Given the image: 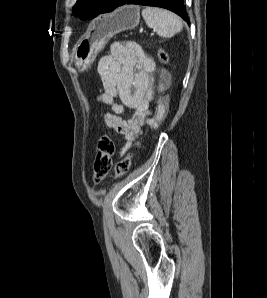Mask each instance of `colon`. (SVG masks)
<instances>
[{
    "label": "colon",
    "mask_w": 267,
    "mask_h": 298,
    "mask_svg": "<svg viewBox=\"0 0 267 298\" xmlns=\"http://www.w3.org/2000/svg\"><path fill=\"white\" fill-rule=\"evenodd\" d=\"M160 59L163 63L167 62L165 53L160 54ZM140 145L139 142L135 143V147ZM114 154V141L110 135H104L98 142L97 153L94 161L93 179L96 183L101 182L108 175L112 166V157ZM133 153L129 152L126 156L117 163L115 167L114 178L118 179L126 174L131 166Z\"/></svg>",
    "instance_id": "obj_1"
}]
</instances>
